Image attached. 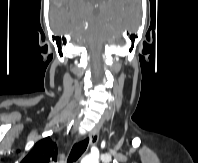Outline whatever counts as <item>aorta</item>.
Returning a JSON list of instances; mask_svg holds the SVG:
<instances>
[{"label": "aorta", "mask_w": 198, "mask_h": 163, "mask_svg": "<svg viewBox=\"0 0 198 163\" xmlns=\"http://www.w3.org/2000/svg\"><path fill=\"white\" fill-rule=\"evenodd\" d=\"M81 163H99V158L95 155H87L81 160Z\"/></svg>", "instance_id": "1"}]
</instances>
